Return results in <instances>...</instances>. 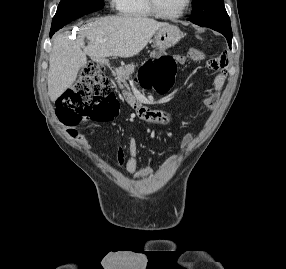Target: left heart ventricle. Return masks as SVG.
I'll return each mask as SVG.
<instances>
[{"instance_id":"left-heart-ventricle-1","label":"left heart ventricle","mask_w":286,"mask_h":269,"mask_svg":"<svg viewBox=\"0 0 286 269\" xmlns=\"http://www.w3.org/2000/svg\"><path fill=\"white\" fill-rule=\"evenodd\" d=\"M159 9L168 15L178 13L184 6L186 0H156Z\"/></svg>"}]
</instances>
